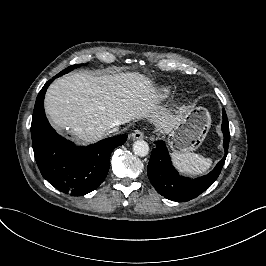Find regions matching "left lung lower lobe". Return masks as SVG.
Wrapping results in <instances>:
<instances>
[{"instance_id": "1", "label": "left lung lower lobe", "mask_w": 266, "mask_h": 266, "mask_svg": "<svg viewBox=\"0 0 266 266\" xmlns=\"http://www.w3.org/2000/svg\"><path fill=\"white\" fill-rule=\"evenodd\" d=\"M222 132L225 155L209 174L191 179L181 176L173 167L169 153L163 141H156L147 167L148 177L157 192L165 198L176 201H189L207 190L218 178L224 165L230 141L229 125L223 109Z\"/></svg>"}]
</instances>
